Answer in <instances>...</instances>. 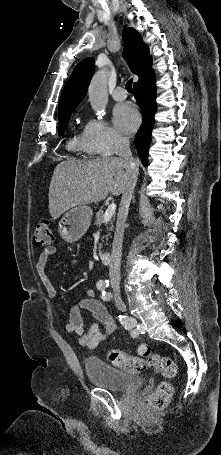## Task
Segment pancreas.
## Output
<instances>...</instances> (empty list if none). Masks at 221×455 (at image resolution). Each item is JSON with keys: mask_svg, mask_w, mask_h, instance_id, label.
Wrapping results in <instances>:
<instances>
[{"mask_svg": "<svg viewBox=\"0 0 221 455\" xmlns=\"http://www.w3.org/2000/svg\"><path fill=\"white\" fill-rule=\"evenodd\" d=\"M103 216H104V214H103L102 210H99L96 213V215H95V218H96L95 225L96 226H101V224L106 223V222L103 221ZM108 222H109L108 223L109 226L107 227L108 231H107L106 238H108V236H110V231H113V229H114V225H113L112 220H109ZM101 248H102V244L99 245V253L101 252Z\"/></svg>", "mask_w": 221, "mask_h": 455, "instance_id": "cf45deb5", "label": "pancreas"}]
</instances>
